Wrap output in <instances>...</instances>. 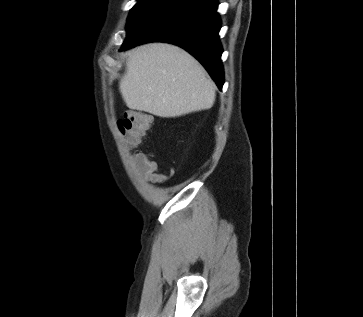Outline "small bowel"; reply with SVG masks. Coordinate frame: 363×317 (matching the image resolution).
Wrapping results in <instances>:
<instances>
[{"instance_id":"obj_1","label":"small bowel","mask_w":363,"mask_h":317,"mask_svg":"<svg viewBox=\"0 0 363 317\" xmlns=\"http://www.w3.org/2000/svg\"><path fill=\"white\" fill-rule=\"evenodd\" d=\"M135 164L143 171L144 177L148 182L165 183L168 179L166 175L157 172L155 162L150 161L144 154H138L135 156Z\"/></svg>"}]
</instances>
